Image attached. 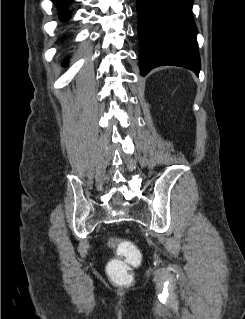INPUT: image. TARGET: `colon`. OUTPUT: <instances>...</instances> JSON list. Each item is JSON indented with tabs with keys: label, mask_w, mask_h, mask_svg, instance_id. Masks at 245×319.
<instances>
[{
	"label": "colon",
	"mask_w": 245,
	"mask_h": 319,
	"mask_svg": "<svg viewBox=\"0 0 245 319\" xmlns=\"http://www.w3.org/2000/svg\"><path fill=\"white\" fill-rule=\"evenodd\" d=\"M110 246L115 249L116 253L126 259L129 263H137L139 260L138 253L132 243L127 240L114 238L110 241ZM109 273L114 278H123L127 271V266L122 263H111L108 266Z\"/></svg>",
	"instance_id": "1"
}]
</instances>
